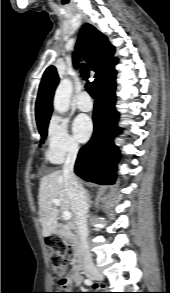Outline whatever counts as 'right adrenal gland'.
I'll return each instance as SVG.
<instances>
[{
  "instance_id": "1",
  "label": "right adrenal gland",
  "mask_w": 170,
  "mask_h": 293,
  "mask_svg": "<svg viewBox=\"0 0 170 293\" xmlns=\"http://www.w3.org/2000/svg\"><path fill=\"white\" fill-rule=\"evenodd\" d=\"M89 195H90V194H89V192L87 191V192H86V196H87V200H88V203H89L88 205H89V207H91L92 202H91V200H90Z\"/></svg>"
}]
</instances>
